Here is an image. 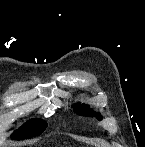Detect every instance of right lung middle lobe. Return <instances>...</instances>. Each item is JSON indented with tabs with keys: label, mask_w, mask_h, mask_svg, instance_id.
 I'll list each match as a JSON object with an SVG mask.
<instances>
[{
	"label": "right lung middle lobe",
	"mask_w": 145,
	"mask_h": 147,
	"mask_svg": "<svg viewBox=\"0 0 145 147\" xmlns=\"http://www.w3.org/2000/svg\"><path fill=\"white\" fill-rule=\"evenodd\" d=\"M46 127L47 124L44 120L32 119L28 121L25 125H23L21 128L16 130L12 134L11 138L14 140L31 138L41 134Z\"/></svg>",
	"instance_id": "right-lung-middle-lobe-1"
}]
</instances>
